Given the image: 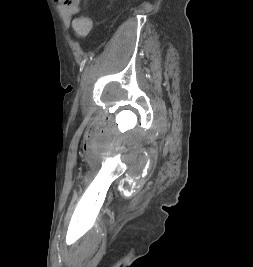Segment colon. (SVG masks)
Returning a JSON list of instances; mask_svg holds the SVG:
<instances>
[{"mask_svg": "<svg viewBox=\"0 0 253 267\" xmlns=\"http://www.w3.org/2000/svg\"><path fill=\"white\" fill-rule=\"evenodd\" d=\"M72 27L79 37L87 36L92 29V21L88 16H78L72 22Z\"/></svg>", "mask_w": 253, "mask_h": 267, "instance_id": "5ec220e1", "label": "colon"}]
</instances>
